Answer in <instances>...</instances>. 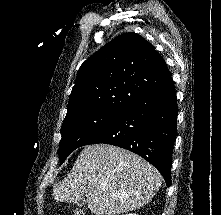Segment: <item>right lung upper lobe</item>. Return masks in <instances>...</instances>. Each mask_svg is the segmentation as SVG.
Here are the masks:
<instances>
[{
	"label": "right lung upper lobe",
	"instance_id": "right-lung-upper-lobe-1",
	"mask_svg": "<svg viewBox=\"0 0 221 215\" xmlns=\"http://www.w3.org/2000/svg\"><path fill=\"white\" fill-rule=\"evenodd\" d=\"M170 78L165 61L148 41L138 34L124 33L81 65L67 115L90 109L121 114Z\"/></svg>",
	"mask_w": 221,
	"mask_h": 215
}]
</instances>
